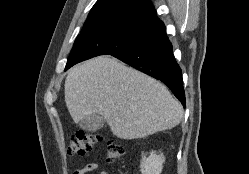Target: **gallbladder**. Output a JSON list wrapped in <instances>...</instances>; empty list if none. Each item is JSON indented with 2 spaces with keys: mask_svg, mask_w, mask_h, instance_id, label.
I'll return each mask as SVG.
<instances>
[{
  "mask_svg": "<svg viewBox=\"0 0 249 174\" xmlns=\"http://www.w3.org/2000/svg\"><path fill=\"white\" fill-rule=\"evenodd\" d=\"M105 124V119L100 114H90L85 116L79 123L80 128L86 131H97Z\"/></svg>",
  "mask_w": 249,
  "mask_h": 174,
  "instance_id": "1",
  "label": "gallbladder"
}]
</instances>
